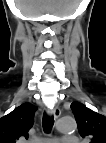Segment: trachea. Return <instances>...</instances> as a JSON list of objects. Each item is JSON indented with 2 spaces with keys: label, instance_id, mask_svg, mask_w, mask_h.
Returning a JSON list of instances; mask_svg holds the SVG:
<instances>
[{
  "label": "trachea",
  "instance_id": "trachea-1",
  "mask_svg": "<svg viewBox=\"0 0 106 143\" xmlns=\"http://www.w3.org/2000/svg\"><path fill=\"white\" fill-rule=\"evenodd\" d=\"M54 124V117H50L47 114H43L42 125L46 133L50 132Z\"/></svg>",
  "mask_w": 106,
  "mask_h": 143
}]
</instances>
